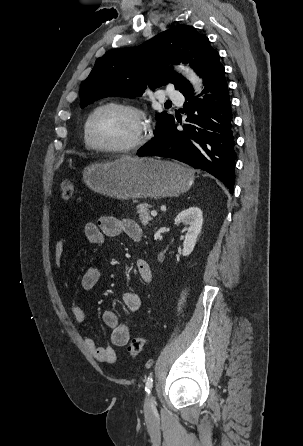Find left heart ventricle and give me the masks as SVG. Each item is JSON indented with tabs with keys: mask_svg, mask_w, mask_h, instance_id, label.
<instances>
[{
	"mask_svg": "<svg viewBox=\"0 0 303 446\" xmlns=\"http://www.w3.org/2000/svg\"><path fill=\"white\" fill-rule=\"evenodd\" d=\"M138 123L128 112L106 109L98 113L91 125V135L101 146H121L137 134Z\"/></svg>",
	"mask_w": 303,
	"mask_h": 446,
	"instance_id": "b2bd125f",
	"label": "left heart ventricle"
}]
</instances>
